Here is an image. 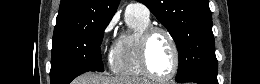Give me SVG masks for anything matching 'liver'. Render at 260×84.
<instances>
[{
    "instance_id": "obj_1",
    "label": "liver",
    "mask_w": 260,
    "mask_h": 84,
    "mask_svg": "<svg viewBox=\"0 0 260 84\" xmlns=\"http://www.w3.org/2000/svg\"><path fill=\"white\" fill-rule=\"evenodd\" d=\"M76 84H151V82L134 77H105L89 72L78 77Z\"/></svg>"
}]
</instances>
